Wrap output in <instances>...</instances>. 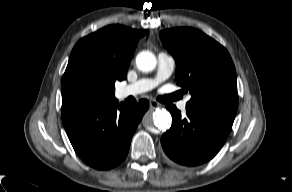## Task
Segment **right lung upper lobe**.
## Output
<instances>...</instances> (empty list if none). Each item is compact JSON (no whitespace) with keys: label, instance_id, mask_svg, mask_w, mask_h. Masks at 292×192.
I'll use <instances>...</instances> for the list:
<instances>
[{"label":"right lung upper lobe","instance_id":"right-lung-upper-lobe-1","mask_svg":"<svg viewBox=\"0 0 292 192\" xmlns=\"http://www.w3.org/2000/svg\"><path fill=\"white\" fill-rule=\"evenodd\" d=\"M147 33L148 30H135L122 25L104 27L76 43L66 70L84 66L110 82L124 80L137 42ZM114 101L117 100L113 95L102 105Z\"/></svg>","mask_w":292,"mask_h":192}]
</instances>
